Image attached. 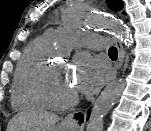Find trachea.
<instances>
[{
	"instance_id": "trachea-1",
	"label": "trachea",
	"mask_w": 151,
	"mask_h": 131,
	"mask_svg": "<svg viewBox=\"0 0 151 131\" xmlns=\"http://www.w3.org/2000/svg\"><path fill=\"white\" fill-rule=\"evenodd\" d=\"M108 52L110 57L117 58L118 54L116 47H110Z\"/></svg>"
}]
</instances>
